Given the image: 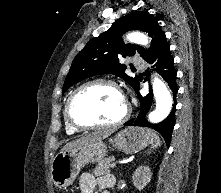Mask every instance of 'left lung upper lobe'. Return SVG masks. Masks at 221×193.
Segmentation results:
<instances>
[{
	"label": "left lung upper lobe",
	"instance_id": "left-lung-upper-lobe-1",
	"mask_svg": "<svg viewBox=\"0 0 221 193\" xmlns=\"http://www.w3.org/2000/svg\"><path fill=\"white\" fill-rule=\"evenodd\" d=\"M132 29L148 32L152 38L148 50L122 41L121 36ZM164 41H166L165 33L152 14L147 11L133 12L121 17L106 32L92 38L77 54L65 79L63 92L72 85L99 74H114L136 89L139 79L131 78L124 73L126 67L120 64L119 58L140 54L144 60H147Z\"/></svg>",
	"mask_w": 221,
	"mask_h": 193
}]
</instances>
